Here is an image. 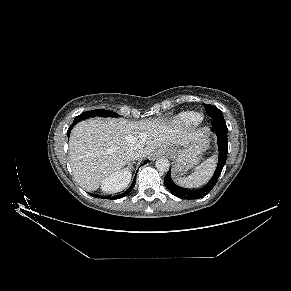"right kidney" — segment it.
<instances>
[{"label": "right kidney", "instance_id": "1", "mask_svg": "<svg viewBox=\"0 0 291 291\" xmlns=\"http://www.w3.org/2000/svg\"><path fill=\"white\" fill-rule=\"evenodd\" d=\"M131 178L129 170H122L112 174L104 179L102 183V190L104 192L114 193L124 188Z\"/></svg>", "mask_w": 291, "mask_h": 291}]
</instances>
